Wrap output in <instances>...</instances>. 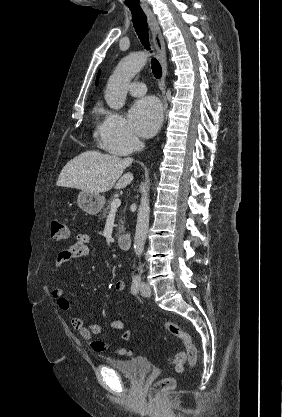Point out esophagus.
<instances>
[{"label": "esophagus", "instance_id": "34e87169", "mask_svg": "<svg viewBox=\"0 0 282 417\" xmlns=\"http://www.w3.org/2000/svg\"><path fill=\"white\" fill-rule=\"evenodd\" d=\"M145 13L148 17V22H149V26H150L151 34H152V40H153V43L156 49V54L159 58L160 65L162 68V76L159 81V88L162 93L163 108H164V115H165L166 110L168 108L167 98H166V84H165V78L167 74V55H166L165 42L163 39L162 32L160 30L159 23L156 20L154 13H152L151 10H146ZM164 115H163V119H164Z\"/></svg>", "mask_w": 282, "mask_h": 417}]
</instances>
